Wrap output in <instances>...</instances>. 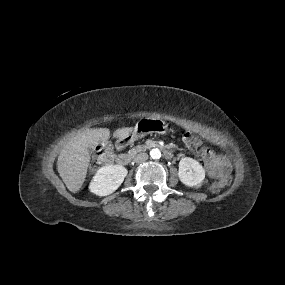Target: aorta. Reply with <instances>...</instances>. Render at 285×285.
<instances>
[{"mask_svg":"<svg viewBox=\"0 0 285 285\" xmlns=\"http://www.w3.org/2000/svg\"><path fill=\"white\" fill-rule=\"evenodd\" d=\"M150 157L152 159H159L161 157V152L158 148L152 149L150 151Z\"/></svg>","mask_w":285,"mask_h":285,"instance_id":"aorta-1","label":"aorta"}]
</instances>
